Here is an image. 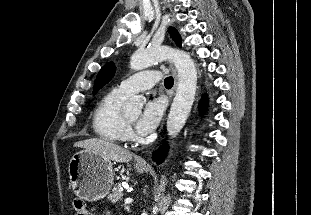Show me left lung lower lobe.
Instances as JSON below:
<instances>
[{
  "mask_svg": "<svg viewBox=\"0 0 311 215\" xmlns=\"http://www.w3.org/2000/svg\"><path fill=\"white\" fill-rule=\"evenodd\" d=\"M206 103H207V101H206L205 99H203L202 102H201L202 111H205V105H206ZM167 150H168V146H167V145H164V146L162 147V149H159V150H158V155H156V156L154 155V156H153L154 160H155L157 163H159L160 161H162L163 158L166 156Z\"/></svg>",
  "mask_w": 311,
  "mask_h": 215,
  "instance_id": "obj_1",
  "label": "left lung lower lobe"
}]
</instances>
